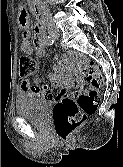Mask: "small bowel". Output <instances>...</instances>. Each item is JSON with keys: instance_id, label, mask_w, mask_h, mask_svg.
Masks as SVG:
<instances>
[{"instance_id": "c3829d8e", "label": "small bowel", "mask_w": 123, "mask_h": 167, "mask_svg": "<svg viewBox=\"0 0 123 167\" xmlns=\"http://www.w3.org/2000/svg\"><path fill=\"white\" fill-rule=\"evenodd\" d=\"M17 14H26V10H17ZM19 24H21L24 29L22 33V51L27 55H31L34 49H36L37 55L39 57H43L45 55L46 47V44L44 43L45 35L43 31L39 27H36L33 35L24 15H21ZM46 80L48 84L43 86H40L41 80L39 79L34 82L21 80L19 84L20 91L29 97L41 99H60L62 95H65L68 92V90H82L84 87V84L80 80L67 81L61 69L57 65L54 66V71L47 76ZM55 88L60 89L59 95L55 94Z\"/></svg>"}]
</instances>
